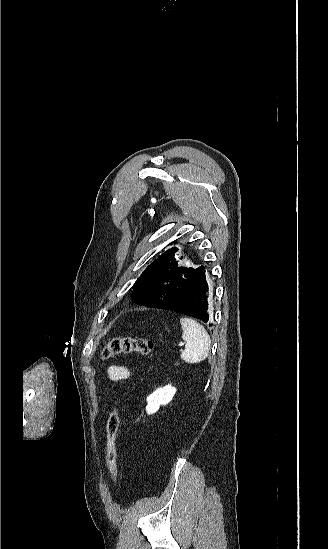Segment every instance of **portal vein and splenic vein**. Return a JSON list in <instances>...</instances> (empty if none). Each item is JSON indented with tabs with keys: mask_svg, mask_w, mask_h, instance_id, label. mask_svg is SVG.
Wrapping results in <instances>:
<instances>
[{
	"mask_svg": "<svg viewBox=\"0 0 328 549\" xmlns=\"http://www.w3.org/2000/svg\"><path fill=\"white\" fill-rule=\"evenodd\" d=\"M179 347H182V344H179Z\"/></svg>",
	"mask_w": 328,
	"mask_h": 549,
	"instance_id": "18ae733b",
	"label": "portal vein and splenic vein"
}]
</instances>
